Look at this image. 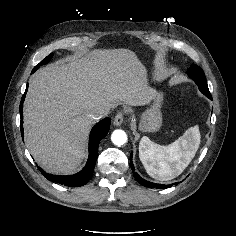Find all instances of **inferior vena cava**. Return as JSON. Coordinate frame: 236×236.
I'll use <instances>...</instances> for the list:
<instances>
[{"instance_id": "inferior-vena-cava-1", "label": "inferior vena cava", "mask_w": 236, "mask_h": 236, "mask_svg": "<svg viewBox=\"0 0 236 236\" xmlns=\"http://www.w3.org/2000/svg\"><path fill=\"white\" fill-rule=\"evenodd\" d=\"M109 113V108L104 106H95L90 110V116L93 119H101Z\"/></svg>"}]
</instances>
